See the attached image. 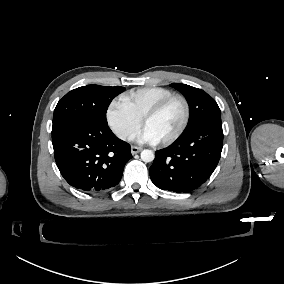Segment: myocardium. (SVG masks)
<instances>
[{
    "mask_svg": "<svg viewBox=\"0 0 284 284\" xmlns=\"http://www.w3.org/2000/svg\"><path fill=\"white\" fill-rule=\"evenodd\" d=\"M175 100H181L183 105H184L183 119H182L181 124L178 127V129L171 136H169L167 139H165L161 142H158V145H160V146H167V145L173 143L175 140H177L181 136V134L186 129L188 122H189V119H190V105H189V102L186 99V97H184L183 95H180V94H173V95L165 98L161 102H159L157 105L152 107L150 110H148L141 119V124H143L144 121L158 116Z\"/></svg>",
    "mask_w": 284,
    "mask_h": 284,
    "instance_id": "f54148a6",
    "label": "myocardium"
}]
</instances>
